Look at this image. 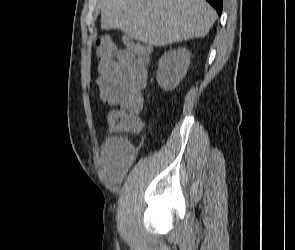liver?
<instances>
[{
    "instance_id": "6515ba94",
    "label": "liver",
    "mask_w": 295,
    "mask_h": 250,
    "mask_svg": "<svg viewBox=\"0 0 295 250\" xmlns=\"http://www.w3.org/2000/svg\"><path fill=\"white\" fill-rule=\"evenodd\" d=\"M216 20L205 0H102L101 27L152 46L203 38Z\"/></svg>"
}]
</instances>
